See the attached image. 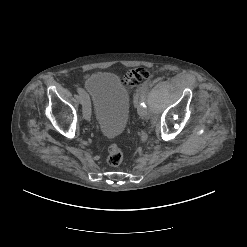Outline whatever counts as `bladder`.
I'll use <instances>...</instances> for the list:
<instances>
[{"label":"bladder","instance_id":"bladder-1","mask_svg":"<svg viewBox=\"0 0 247 247\" xmlns=\"http://www.w3.org/2000/svg\"><path fill=\"white\" fill-rule=\"evenodd\" d=\"M85 87L100 132L108 137L120 134L130 112V94L126 86L116 74L97 72L87 77Z\"/></svg>","mask_w":247,"mask_h":247}]
</instances>
